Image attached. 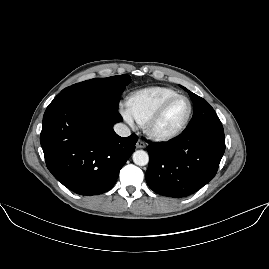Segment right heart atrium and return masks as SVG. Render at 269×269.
<instances>
[{"instance_id": "obj_1", "label": "right heart atrium", "mask_w": 269, "mask_h": 269, "mask_svg": "<svg viewBox=\"0 0 269 269\" xmlns=\"http://www.w3.org/2000/svg\"><path fill=\"white\" fill-rule=\"evenodd\" d=\"M124 116L126 117V119L130 120V116L124 114Z\"/></svg>"}]
</instances>
